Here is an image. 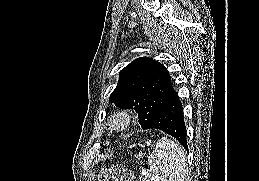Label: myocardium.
Returning a JSON list of instances; mask_svg holds the SVG:
<instances>
[{
    "label": "myocardium",
    "instance_id": "obj_1",
    "mask_svg": "<svg viewBox=\"0 0 259 181\" xmlns=\"http://www.w3.org/2000/svg\"><path fill=\"white\" fill-rule=\"evenodd\" d=\"M132 118L131 111L127 109L114 112L108 121L110 131L115 133L124 131L130 125Z\"/></svg>",
    "mask_w": 259,
    "mask_h": 181
}]
</instances>
